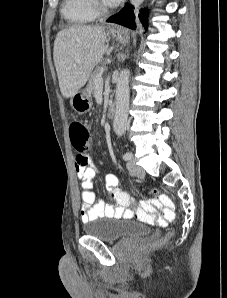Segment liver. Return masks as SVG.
<instances>
[{
    "label": "liver",
    "mask_w": 227,
    "mask_h": 298,
    "mask_svg": "<svg viewBox=\"0 0 227 298\" xmlns=\"http://www.w3.org/2000/svg\"><path fill=\"white\" fill-rule=\"evenodd\" d=\"M107 48L104 27L75 26L58 32L53 58L60 91L65 98H71L86 84Z\"/></svg>",
    "instance_id": "liver-1"
}]
</instances>
